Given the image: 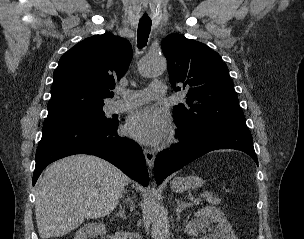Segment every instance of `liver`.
<instances>
[{
	"label": "liver",
	"mask_w": 304,
	"mask_h": 239,
	"mask_svg": "<svg viewBox=\"0 0 304 239\" xmlns=\"http://www.w3.org/2000/svg\"><path fill=\"white\" fill-rule=\"evenodd\" d=\"M128 182L118 168L95 156L73 155L54 162L36 189L40 237L64 236L85 219L110 214Z\"/></svg>",
	"instance_id": "liver-1"
}]
</instances>
